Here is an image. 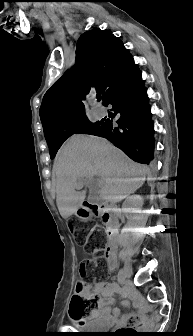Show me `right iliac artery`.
<instances>
[{"label": "right iliac artery", "instance_id": "82829eb1", "mask_svg": "<svg viewBox=\"0 0 193 336\" xmlns=\"http://www.w3.org/2000/svg\"><path fill=\"white\" fill-rule=\"evenodd\" d=\"M117 281L121 282L122 281V271L120 270L117 275Z\"/></svg>", "mask_w": 193, "mask_h": 336}]
</instances>
